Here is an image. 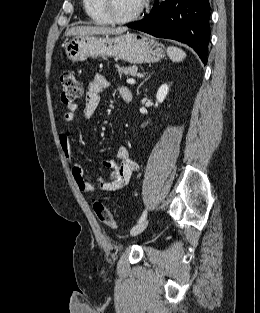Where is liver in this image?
<instances>
[{
	"mask_svg": "<svg viewBox=\"0 0 260 313\" xmlns=\"http://www.w3.org/2000/svg\"><path fill=\"white\" fill-rule=\"evenodd\" d=\"M127 31L126 27L110 28L102 26H76L65 32L66 36H86V35H114Z\"/></svg>",
	"mask_w": 260,
	"mask_h": 313,
	"instance_id": "liver-1",
	"label": "liver"
}]
</instances>
